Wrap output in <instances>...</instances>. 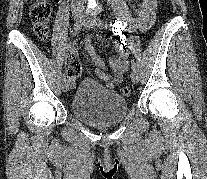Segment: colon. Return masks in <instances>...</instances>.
Wrapping results in <instances>:
<instances>
[{"label": "colon", "mask_w": 207, "mask_h": 179, "mask_svg": "<svg viewBox=\"0 0 207 179\" xmlns=\"http://www.w3.org/2000/svg\"><path fill=\"white\" fill-rule=\"evenodd\" d=\"M51 16V5L47 0H36L30 8V20L34 26L37 37L42 42H46L49 37V20ZM66 72L71 77H77L81 73V66L74 54H70L67 59ZM123 96H128L131 92L129 87L120 90Z\"/></svg>", "instance_id": "5ec220e1"}]
</instances>
